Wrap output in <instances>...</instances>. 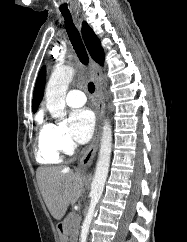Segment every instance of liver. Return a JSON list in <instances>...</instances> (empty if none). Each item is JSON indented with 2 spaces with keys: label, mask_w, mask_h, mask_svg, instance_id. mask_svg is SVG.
I'll list each match as a JSON object with an SVG mask.
<instances>
[{
  "label": "liver",
  "mask_w": 187,
  "mask_h": 242,
  "mask_svg": "<svg viewBox=\"0 0 187 242\" xmlns=\"http://www.w3.org/2000/svg\"><path fill=\"white\" fill-rule=\"evenodd\" d=\"M36 177L44 202L56 220L62 219L68 206L77 202L87 181L81 171L60 166L39 167Z\"/></svg>",
  "instance_id": "1"
}]
</instances>
